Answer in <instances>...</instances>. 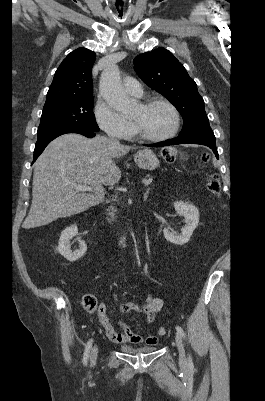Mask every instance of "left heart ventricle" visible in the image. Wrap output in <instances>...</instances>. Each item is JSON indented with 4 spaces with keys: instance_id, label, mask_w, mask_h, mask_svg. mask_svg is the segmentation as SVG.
Returning <instances> with one entry per match:
<instances>
[{
    "instance_id": "b2bd125f",
    "label": "left heart ventricle",
    "mask_w": 265,
    "mask_h": 401,
    "mask_svg": "<svg viewBox=\"0 0 265 401\" xmlns=\"http://www.w3.org/2000/svg\"><path fill=\"white\" fill-rule=\"evenodd\" d=\"M132 121L140 133L149 136L163 135L172 130L175 124L172 111L162 104L145 108L141 104L135 109Z\"/></svg>"
}]
</instances>
